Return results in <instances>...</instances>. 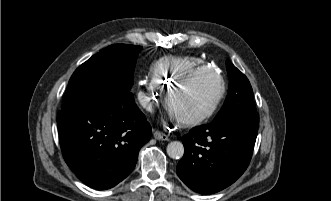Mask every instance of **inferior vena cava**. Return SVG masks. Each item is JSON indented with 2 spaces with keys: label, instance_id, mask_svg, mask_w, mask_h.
Masks as SVG:
<instances>
[{
  "label": "inferior vena cava",
  "instance_id": "602c4592",
  "mask_svg": "<svg viewBox=\"0 0 331 201\" xmlns=\"http://www.w3.org/2000/svg\"><path fill=\"white\" fill-rule=\"evenodd\" d=\"M143 103H144L145 105H147V104L149 103V101H148L147 99H144V100H143Z\"/></svg>",
  "mask_w": 331,
  "mask_h": 201
}]
</instances>
